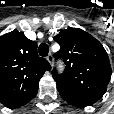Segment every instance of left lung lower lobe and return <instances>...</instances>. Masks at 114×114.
Here are the masks:
<instances>
[{"label": "left lung lower lobe", "mask_w": 114, "mask_h": 114, "mask_svg": "<svg viewBox=\"0 0 114 114\" xmlns=\"http://www.w3.org/2000/svg\"><path fill=\"white\" fill-rule=\"evenodd\" d=\"M59 94L61 95V97L68 102L69 104L76 106V107H85V106H89L92 105L93 103H95L97 100L91 97H87V96H83V95H79V94H75L72 92H68V91H63V90H58Z\"/></svg>", "instance_id": "left-lung-lower-lobe-1"}]
</instances>
